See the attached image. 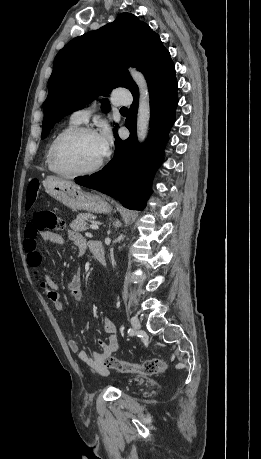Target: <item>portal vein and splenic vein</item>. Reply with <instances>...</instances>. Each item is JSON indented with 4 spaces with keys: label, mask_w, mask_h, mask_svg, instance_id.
Segmentation results:
<instances>
[{
    "label": "portal vein and splenic vein",
    "mask_w": 261,
    "mask_h": 459,
    "mask_svg": "<svg viewBox=\"0 0 261 459\" xmlns=\"http://www.w3.org/2000/svg\"><path fill=\"white\" fill-rule=\"evenodd\" d=\"M90 228L93 230H97L99 228L98 224L94 223L90 225Z\"/></svg>",
    "instance_id": "1"
}]
</instances>
